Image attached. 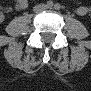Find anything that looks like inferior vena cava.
Instances as JSON below:
<instances>
[{
    "mask_svg": "<svg viewBox=\"0 0 91 91\" xmlns=\"http://www.w3.org/2000/svg\"><path fill=\"white\" fill-rule=\"evenodd\" d=\"M45 8H46L45 6H36V7H34V11H40V10H43Z\"/></svg>",
    "mask_w": 91,
    "mask_h": 91,
    "instance_id": "obj_1",
    "label": "inferior vena cava"
}]
</instances>
